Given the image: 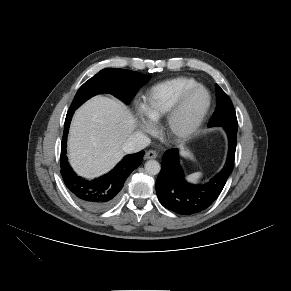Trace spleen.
Returning a JSON list of instances; mask_svg holds the SVG:
<instances>
[{
  "mask_svg": "<svg viewBox=\"0 0 291 291\" xmlns=\"http://www.w3.org/2000/svg\"><path fill=\"white\" fill-rule=\"evenodd\" d=\"M202 177V173L197 172V173H193L191 175L188 176V181L192 182V183H196L199 181V179Z\"/></svg>",
  "mask_w": 291,
  "mask_h": 291,
  "instance_id": "spleen-1",
  "label": "spleen"
}]
</instances>
